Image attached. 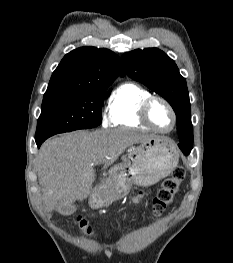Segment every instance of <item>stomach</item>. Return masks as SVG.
I'll list each match as a JSON object with an SVG mask.
<instances>
[{"label":"stomach","mask_w":233,"mask_h":263,"mask_svg":"<svg viewBox=\"0 0 233 263\" xmlns=\"http://www.w3.org/2000/svg\"><path fill=\"white\" fill-rule=\"evenodd\" d=\"M174 144L165 137L153 138L132 147L108 180V193L94 196L89 203L99 208L106 202L122 198L133 185L148 187L168 176L178 164Z\"/></svg>","instance_id":"obj_1"}]
</instances>
